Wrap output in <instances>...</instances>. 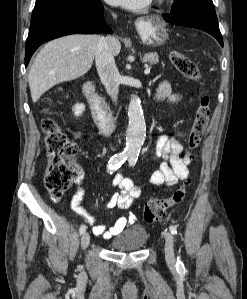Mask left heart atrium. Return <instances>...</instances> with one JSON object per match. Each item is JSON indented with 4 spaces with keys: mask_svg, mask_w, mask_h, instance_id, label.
Listing matches in <instances>:
<instances>
[{
    "mask_svg": "<svg viewBox=\"0 0 247 299\" xmlns=\"http://www.w3.org/2000/svg\"><path fill=\"white\" fill-rule=\"evenodd\" d=\"M111 5L121 6L127 9H141L152 0H105Z\"/></svg>",
    "mask_w": 247,
    "mask_h": 299,
    "instance_id": "left-heart-atrium-1",
    "label": "left heart atrium"
}]
</instances>
